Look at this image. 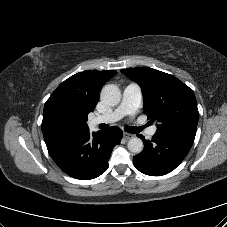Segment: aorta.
<instances>
[{"label": "aorta", "instance_id": "obj_1", "mask_svg": "<svg viewBox=\"0 0 227 227\" xmlns=\"http://www.w3.org/2000/svg\"><path fill=\"white\" fill-rule=\"evenodd\" d=\"M121 92L115 85L108 84L102 88L101 100L105 105L115 106L120 102ZM143 141L138 137H133L128 142V149L135 154H139L143 150Z\"/></svg>", "mask_w": 227, "mask_h": 227}]
</instances>
